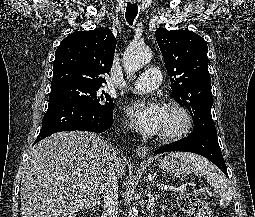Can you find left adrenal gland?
<instances>
[{
  "mask_svg": "<svg viewBox=\"0 0 255 217\" xmlns=\"http://www.w3.org/2000/svg\"><path fill=\"white\" fill-rule=\"evenodd\" d=\"M160 194H152L151 188L148 187V202H147V210H150V215L153 216L154 213V206H155V201L160 198Z\"/></svg>",
  "mask_w": 255,
  "mask_h": 217,
  "instance_id": "a2214340",
  "label": "left adrenal gland"
}]
</instances>
